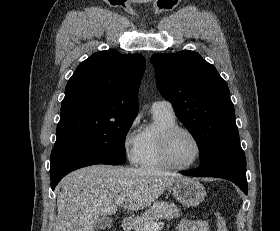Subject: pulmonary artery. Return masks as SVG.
I'll list each match as a JSON object with an SVG mask.
<instances>
[{
	"instance_id": "pulmonary-artery-1",
	"label": "pulmonary artery",
	"mask_w": 280,
	"mask_h": 231,
	"mask_svg": "<svg viewBox=\"0 0 280 231\" xmlns=\"http://www.w3.org/2000/svg\"><path fill=\"white\" fill-rule=\"evenodd\" d=\"M151 111L169 114V115L175 114L173 105L166 100L154 101L151 106Z\"/></svg>"
}]
</instances>
